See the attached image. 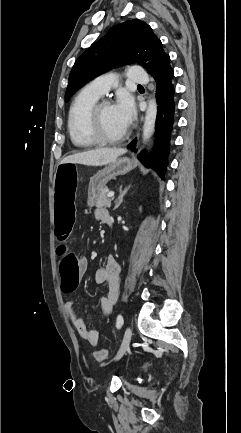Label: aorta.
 <instances>
[{"label":"aorta","instance_id":"762f6f07","mask_svg":"<svg viewBox=\"0 0 241 433\" xmlns=\"http://www.w3.org/2000/svg\"><path fill=\"white\" fill-rule=\"evenodd\" d=\"M157 116V104L155 99L148 101V107L145 114L143 125V141L146 142L152 135Z\"/></svg>","mask_w":241,"mask_h":433}]
</instances>
